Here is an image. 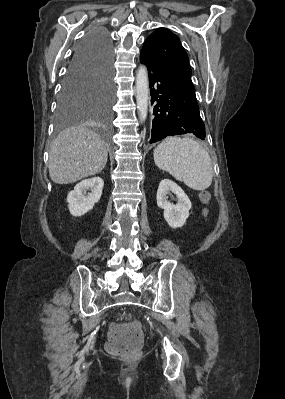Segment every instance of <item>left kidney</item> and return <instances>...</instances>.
<instances>
[{"label":"left kidney","instance_id":"left-kidney-1","mask_svg":"<svg viewBox=\"0 0 285 399\" xmlns=\"http://www.w3.org/2000/svg\"><path fill=\"white\" fill-rule=\"evenodd\" d=\"M170 191L177 196L178 202L175 205L167 200ZM157 206L164 209V218L170 227L180 228L189 217L191 202L181 187L170 179H163L157 190Z\"/></svg>","mask_w":285,"mask_h":399}]
</instances>
